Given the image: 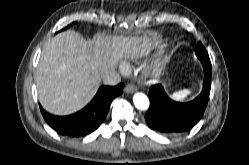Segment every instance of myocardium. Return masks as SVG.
<instances>
[{
	"instance_id": "obj_1",
	"label": "myocardium",
	"mask_w": 249,
	"mask_h": 165,
	"mask_svg": "<svg viewBox=\"0 0 249 165\" xmlns=\"http://www.w3.org/2000/svg\"><path fill=\"white\" fill-rule=\"evenodd\" d=\"M161 69H156L155 72H153L150 76H149V82L150 83H157L159 81V78L161 76Z\"/></svg>"
}]
</instances>
